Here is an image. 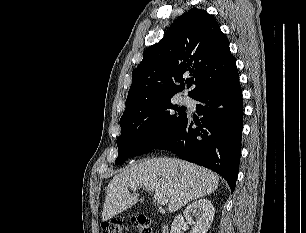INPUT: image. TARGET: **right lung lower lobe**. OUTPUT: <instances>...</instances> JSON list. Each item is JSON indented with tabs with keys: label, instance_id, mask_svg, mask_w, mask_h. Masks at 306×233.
I'll return each instance as SVG.
<instances>
[{
	"label": "right lung lower lobe",
	"instance_id": "1",
	"mask_svg": "<svg viewBox=\"0 0 306 233\" xmlns=\"http://www.w3.org/2000/svg\"><path fill=\"white\" fill-rule=\"evenodd\" d=\"M197 101L199 115L190 116L179 129L156 148L172 151L181 159L209 168L236 185L241 155L243 124L242 91L238 71L208 89ZM196 124L198 127H193Z\"/></svg>",
	"mask_w": 306,
	"mask_h": 233
}]
</instances>
